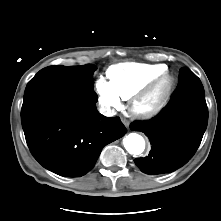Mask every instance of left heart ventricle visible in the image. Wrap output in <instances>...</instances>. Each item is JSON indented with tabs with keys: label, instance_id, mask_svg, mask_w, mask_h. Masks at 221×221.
<instances>
[{
	"label": "left heart ventricle",
	"instance_id": "1",
	"mask_svg": "<svg viewBox=\"0 0 221 221\" xmlns=\"http://www.w3.org/2000/svg\"><path fill=\"white\" fill-rule=\"evenodd\" d=\"M159 94H160V92H157L154 96H152L151 98H149V99L144 103V106H145V107H150V106H152V105L156 102V100L158 99Z\"/></svg>",
	"mask_w": 221,
	"mask_h": 221
}]
</instances>
